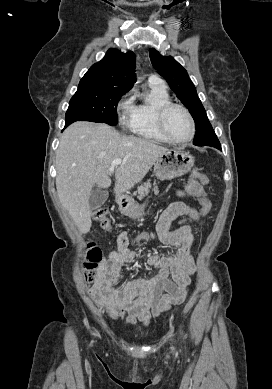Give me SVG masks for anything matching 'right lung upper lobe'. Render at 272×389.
Here are the masks:
<instances>
[{"mask_svg": "<svg viewBox=\"0 0 272 389\" xmlns=\"http://www.w3.org/2000/svg\"><path fill=\"white\" fill-rule=\"evenodd\" d=\"M135 62L136 58L133 52L122 53L111 48L100 62L91 66L80 80L79 85L129 91L136 81Z\"/></svg>", "mask_w": 272, "mask_h": 389, "instance_id": "cb5924a9", "label": "right lung upper lobe"}]
</instances>
